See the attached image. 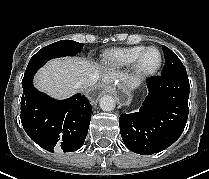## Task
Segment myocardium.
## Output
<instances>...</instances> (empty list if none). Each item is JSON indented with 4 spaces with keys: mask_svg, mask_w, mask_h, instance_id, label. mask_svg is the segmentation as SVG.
Listing matches in <instances>:
<instances>
[{
    "mask_svg": "<svg viewBox=\"0 0 209 179\" xmlns=\"http://www.w3.org/2000/svg\"><path fill=\"white\" fill-rule=\"evenodd\" d=\"M149 50H156L159 53V61H158V64L154 68L143 69L141 65L142 59ZM162 64H163V54L161 50L155 46H148V47H145L135 58L132 64V71H133L134 76L138 80H144L155 75L160 70Z\"/></svg>",
    "mask_w": 209,
    "mask_h": 179,
    "instance_id": "1",
    "label": "myocardium"
}]
</instances>
